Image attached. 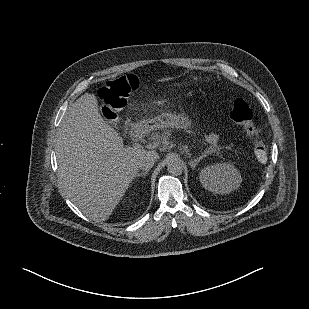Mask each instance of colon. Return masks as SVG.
Returning a JSON list of instances; mask_svg holds the SVG:
<instances>
[{
  "mask_svg": "<svg viewBox=\"0 0 309 309\" xmlns=\"http://www.w3.org/2000/svg\"><path fill=\"white\" fill-rule=\"evenodd\" d=\"M138 87L139 80L133 74H126L106 83L98 92L102 112L110 118L116 117L126 107L129 97ZM229 118L240 125L245 134L255 141V156L260 162H265L268 157L267 147L260 138L249 105L242 99L235 100Z\"/></svg>",
  "mask_w": 309,
  "mask_h": 309,
  "instance_id": "5ec220e1",
  "label": "colon"
}]
</instances>
